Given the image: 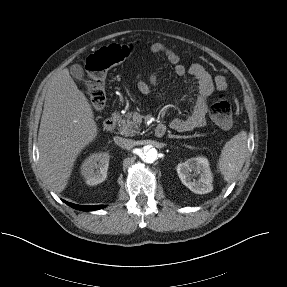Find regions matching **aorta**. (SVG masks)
Masks as SVG:
<instances>
[{
  "label": "aorta",
  "instance_id": "obj_1",
  "mask_svg": "<svg viewBox=\"0 0 287 287\" xmlns=\"http://www.w3.org/2000/svg\"><path fill=\"white\" fill-rule=\"evenodd\" d=\"M140 157L146 163H153L158 159V152L154 147L146 145L141 148Z\"/></svg>",
  "mask_w": 287,
  "mask_h": 287
}]
</instances>
